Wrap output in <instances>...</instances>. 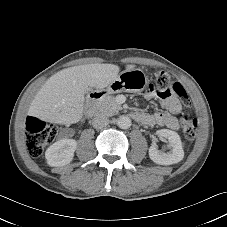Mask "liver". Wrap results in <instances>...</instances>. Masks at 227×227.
Segmentation results:
<instances>
[{"instance_id":"1","label":"liver","mask_w":227,"mask_h":227,"mask_svg":"<svg viewBox=\"0 0 227 227\" xmlns=\"http://www.w3.org/2000/svg\"><path fill=\"white\" fill-rule=\"evenodd\" d=\"M135 65H127L126 70ZM113 64H86L63 69L51 76L38 91L29 114L43 121L73 124L81 120L88 87L104 89L118 76Z\"/></svg>"}]
</instances>
